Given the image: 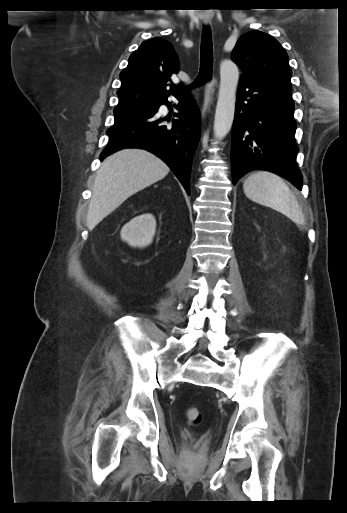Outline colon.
Segmentation results:
<instances>
[{
    "instance_id": "colon-1",
    "label": "colon",
    "mask_w": 347,
    "mask_h": 513,
    "mask_svg": "<svg viewBox=\"0 0 347 513\" xmlns=\"http://www.w3.org/2000/svg\"><path fill=\"white\" fill-rule=\"evenodd\" d=\"M187 421L192 425H197L202 422V413L199 409L191 407L186 411Z\"/></svg>"
}]
</instances>
